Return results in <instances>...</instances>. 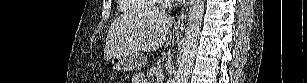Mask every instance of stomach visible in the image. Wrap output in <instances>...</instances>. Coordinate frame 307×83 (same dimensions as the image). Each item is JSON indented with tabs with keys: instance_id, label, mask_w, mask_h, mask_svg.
Here are the masks:
<instances>
[{
	"instance_id": "1",
	"label": "stomach",
	"mask_w": 307,
	"mask_h": 83,
	"mask_svg": "<svg viewBox=\"0 0 307 83\" xmlns=\"http://www.w3.org/2000/svg\"><path fill=\"white\" fill-rule=\"evenodd\" d=\"M145 64V57L139 54L117 55L112 58L113 68L122 72L138 70Z\"/></svg>"
}]
</instances>
